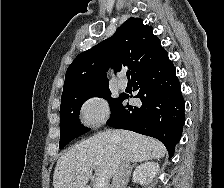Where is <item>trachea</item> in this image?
I'll list each match as a JSON object with an SVG mask.
<instances>
[{
  "mask_svg": "<svg viewBox=\"0 0 224 188\" xmlns=\"http://www.w3.org/2000/svg\"><path fill=\"white\" fill-rule=\"evenodd\" d=\"M130 74H131L130 71H127L126 75L128 79H130Z\"/></svg>",
  "mask_w": 224,
  "mask_h": 188,
  "instance_id": "obj_1",
  "label": "trachea"
}]
</instances>
